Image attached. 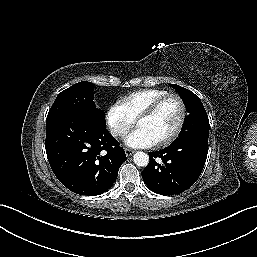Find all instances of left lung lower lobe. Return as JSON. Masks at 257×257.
<instances>
[{"instance_id":"left-lung-lower-lobe-1","label":"left lung lower lobe","mask_w":257,"mask_h":257,"mask_svg":"<svg viewBox=\"0 0 257 257\" xmlns=\"http://www.w3.org/2000/svg\"><path fill=\"white\" fill-rule=\"evenodd\" d=\"M207 154L208 139L191 137L174 142L165 149L149 153L150 162L143 170L142 178L155 193H182L199 178Z\"/></svg>"}]
</instances>
